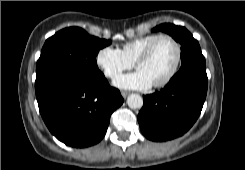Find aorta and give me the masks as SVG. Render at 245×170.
<instances>
[{"instance_id":"aorta-1","label":"aorta","mask_w":245,"mask_h":170,"mask_svg":"<svg viewBox=\"0 0 245 170\" xmlns=\"http://www.w3.org/2000/svg\"><path fill=\"white\" fill-rule=\"evenodd\" d=\"M127 104L132 109H138L143 106V98L138 94H131L127 98Z\"/></svg>"}]
</instances>
